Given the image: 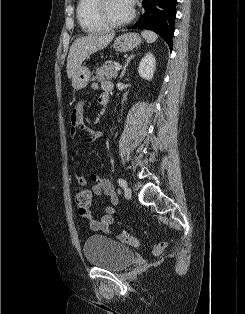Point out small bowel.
<instances>
[{
    "mask_svg": "<svg viewBox=\"0 0 245 314\" xmlns=\"http://www.w3.org/2000/svg\"><path fill=\"white\" fill-rule=\"evenodd\" d=\"M93 89H102V93L98 97V102L101 105H105L109 101V94L111 90V84L108 82L92 83ZM104 97L108 98L106 100ZM70 136L72 139H75L78 132L80 130L85 129L84 123V106L83 103L80 102L75 108L72 110L70 115ZM88 136L84 138L85 142H91L99 138L102 133L97 130L88 129ZM73 181L79 186H85L87 183V179L84 175H82L77 169H74L72 172ZM93 185L91 187V194L100 196L107 195L110 197L111 205L105 206V214L102 215L98 219H94L91 211L89 210L85 214H80L83 218L89 220L90 229L97 232L110 233V227L114 222V214L116 213V206L119 204V198L115 193L114 186L110 182V180L100 177L99 175L92 174L90 176Z\"/></svg>",
    "mask_w": 245,
    "mask_h": 314,
    "instance_id": "c3829d8e",
    "label": "small bowel"
}]
</instances>
